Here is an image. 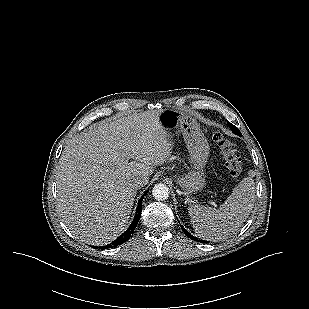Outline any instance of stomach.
Returning <instances> with one entry per match:
<instances>
[{"label":"stomach","mask_w":309,"mask_h":309,"mask_svg":"<svg viewBox=\"0 0 309 309\" xmlns=\"http://www.w3.org/2000/svg\"><path fill=\"white\" fill-rule=\"evenodd\" d=\"M158 121L168 132L179 130L186 143L192 169L176 176V183L187 193L202 190L206 184L205 165L209 157V145L198 123L191 116L173 109L159 112Z\"/></svg>","instance_id":"0dacf381"}]
</instances>
